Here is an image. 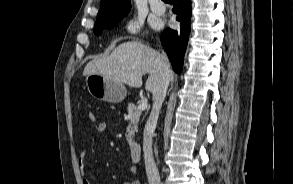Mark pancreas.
Wrapping results in <instances>:
<instances>
[{"label": "pancreas", "instance_id": "obj_1", "mask_svg": "<svg viewBox=\"0 0 293 184\" xmlns=\"http://www.w3.org/2000/svg\"><path fill=\"white\" fill-rule=\"evenodd\" d=\"M127 110L131 118H130L129 125L127 126L126 139L128 143L131 144L135 132L138 131V122L141 115V111L133 103L128 104Z\"/></svg>", "mask_w": 293, "mask_h": 184}]
</instances>
